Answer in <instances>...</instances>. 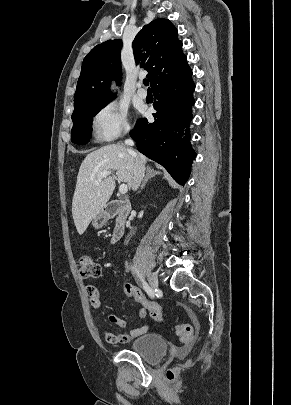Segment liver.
Here are the masks:
<instances>
[{"label":"liver","instance_id":"1","mask_svg":"<svg viewBox=\"0 0 291 405\" xmlns=\"http://www.w3.org/2000/svg\"><path fill=\"white\" fill-rule=\"evenodd\" d=\"M137 156L145 165L147 158L142 154ZM111 170H116L119 181L132 187L133 157L123 145L110 144L89 153L79 168L72 200V215L80 235L105 207L115 189L113 177L98 179L99 173Z\"/></svg>","mask_w":291,"mask_h":405}]
</instances>
